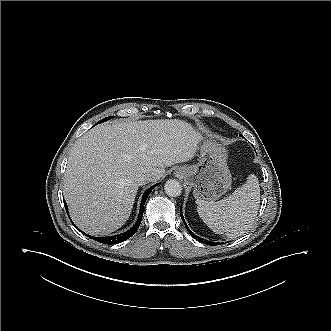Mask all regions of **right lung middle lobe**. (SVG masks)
<instances>
[{
    "label": "right lung middle lobe",
    "instance_id": "right-lung-middle-lobe-1",
    "mask_svg": "<svg viewBox=\"0 0 331 331\" xmlns=\"http://www.w3.org/2000/svg\"><path fill=\"white\" fill-rule=\"evenodd\" d=\"M112 118H113V117H107V118H104V119L100 120L98 123L106 122L107 120L112 119ZM98 123H97V124H98Z\"/></svg>",
    "mask_w": 331,
    "mask_h": 331
}]
</instances>
